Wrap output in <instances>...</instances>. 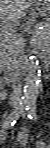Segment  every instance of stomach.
<instances>
[{
    "label": "stomach",
    "instance_id": "obj_1",
    "mask_svg": "<svg viewBox=\"0 0 50 148\" xmlns=\"http://www.w3.org/2000/svg\"><path fill=\"white\" fill-rule=\"evenodd\" d=\"M44 4L47 6V8L50 7V1H49V0H45V1H44Z\"/></svg>",
    "mask_w": 50,
    "mask_h": 148
}]
</instances>
